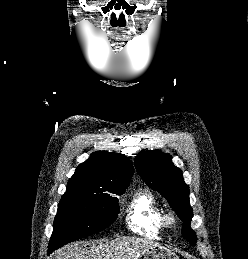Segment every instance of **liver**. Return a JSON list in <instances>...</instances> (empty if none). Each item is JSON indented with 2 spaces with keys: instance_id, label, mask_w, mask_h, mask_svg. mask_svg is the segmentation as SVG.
Here are the masks:
<instances>
[{
  "instance_id": "6515ba94",
  "label": "liver",
  "mask_w": 248,
  "mask_h": 259,
  "mask_svg": "<svg viewBox=\"0 0 248 259\" xmlns=\"http://www.w3.org/2000/svg\"><path fill=\"white\" fill-rule=\"evenodd\" d=\"M156 246L148 239L123 237L86 247L84 242H74L58 249L53 259H137L144 251Z\"/></svg>"
}]
</instances>
